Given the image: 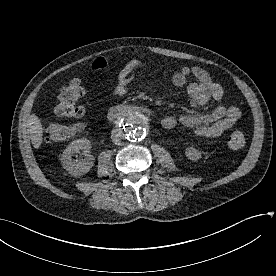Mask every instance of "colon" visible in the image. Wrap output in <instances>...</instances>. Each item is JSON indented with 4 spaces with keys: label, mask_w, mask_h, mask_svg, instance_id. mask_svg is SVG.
<instances>
[{
    "label": "colon",
    "mask_w": 276,
    "mask_h": 276,
    "mask_svg": "<svg viewBox=\"0 0 276 276\" xmlns=\"http://www.w3.org/2000/svg\"><path fill=\"white\" fill-rule=\"evenodd\" d=\"M84 95V89L79 80L70 81L58 93L55 112L62 118H79L84 114V108L79 100ZM82 128L81 125L53 124L46 128V140L60 142L70 138L73 133ZM228 146L232 149H241L246 143L245 135L239 130L232 131L227 138Z\"/></svg>",
    "instance_id": "5ec220e1"
}]
</instances>
